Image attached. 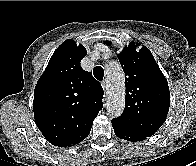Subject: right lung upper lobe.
Wrapping results in <instances>:
<instances>
[{
	"instance_id": "1",
	"label": "right lung upper lobe",
	"mask_w": 196,
	"mask_h": 166,
	"mask_svg": "<svg viewBox=\"0 0 196 166\" xmlns=\"http://www.w3.org/2000/svg\"><path fill=\"white\" fill-rule=\"evenodd\" d=\"M85 54L84 46L64 41L34 90L35 122L55 146L70 147L86 138L103 107L101 84L80 66Z\"/></svg>"
}]
</instances>
